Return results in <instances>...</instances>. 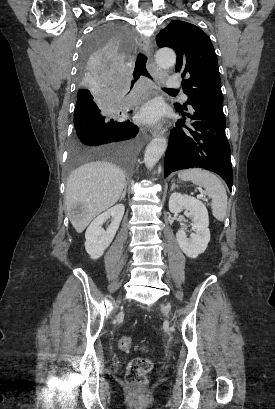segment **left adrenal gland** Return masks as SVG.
Here are the masks:
<instances>
[{
  "mask_svg": "<svg viewBox=\"0 0 275 409\" xmlns=\"http://www.w3.org/2000/svg\"><path fill=\"white\" fill-rule=\"evenodd\" d=\"M174 188H176V184H175L174 180H172V186H171L170 190H174Z\"/></svg>",
  "mask_w": 275,
  "mask_h": 409,
  "instance_id": "left-adrenal-gland-1",
  "label": "left adrenal gland"
}]
</instances>
